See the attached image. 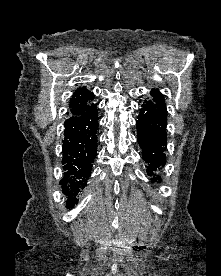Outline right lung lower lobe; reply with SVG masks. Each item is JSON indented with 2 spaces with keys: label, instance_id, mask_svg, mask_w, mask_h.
<instances>
[{
  "label": "right lung lower lobe",
  "instance_id": "1",
  "mask_svg": "<svg viewBox=\"0 0 221 276\" xmlns=\"http://www.w3.org/2000/svg\"><path fill=\"white\" fill-rule=\"evenodd\" d=\"M64 126V175L60 185L67 197V208H72L78 203L76 196L87 184L97 154V104L92 103L82 113L71 115Z\"/></svg>",
  "mask_w": 221,
  "mask_h": 276
}]
</instances>
